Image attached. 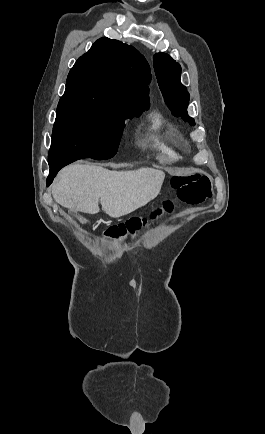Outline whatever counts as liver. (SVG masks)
Listing matches in <instances>:
<instances>
[{"label":"liver","mask_w":265,"mask_h":434,"mask_svg":"<svg viewBox=\"0 0 265 434\" xmlns=\"http://www.w3.org/2000/svg\"><path fill=\"white\" fill-rule=\"evenodd\" d=\"M165 174L153 168L111 172L93 164H71L52 184V196L71 212L98 214L101 206L110 218H121L157 198Z\"/></svg>","instance_id":"6515ba94"}]
</instances>
